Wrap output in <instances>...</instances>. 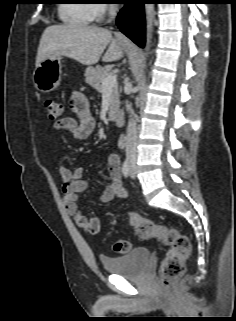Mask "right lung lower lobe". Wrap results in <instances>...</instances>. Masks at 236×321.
I'll return each instance as SVG.
<instances>
[{"mask_svg": "<svg viewBox=\"0 0 236 321\" xmlns=\"http://www.w3.org/2000/svg\"><path fill=\"white\" fill-rule=\"evenodd\" d=\"M147 0H124V8L117 16L119 29L140 47L145 44L144 3Z\"/></svg>", "mask_w": 236, "mask_h": 321, "instance_id": "98d812e1", "label": "right lung lower lobe"}]
</instances>
